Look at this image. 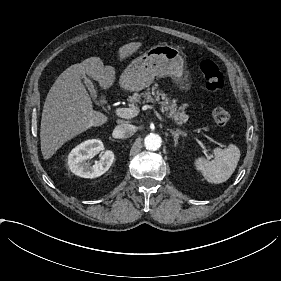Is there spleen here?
<instances>
[{"label":"spleen","instance_id":"spleen-1","mask_svg":"<svg viewBox=\"0 0 281 281\" xmlns=\"http://www.w3.org/2000/svg\"><path fill=\"white\" fill-rule=\"evenodd\" d=\"M240 152L237 147L229 146L226 149H216L215 159L197 162L198 168L204 172L208 181L221 183L231 177L237 167Z\"/></svg>","mask_w":281,"mask_h":281}]
</instances>
